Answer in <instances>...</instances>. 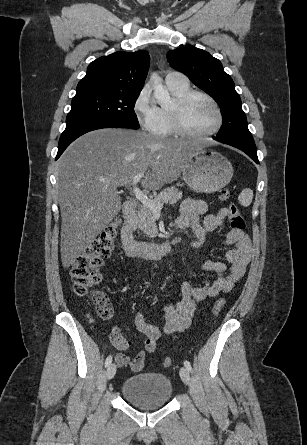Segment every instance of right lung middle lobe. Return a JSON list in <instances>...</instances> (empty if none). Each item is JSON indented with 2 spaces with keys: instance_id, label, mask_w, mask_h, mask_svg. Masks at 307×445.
<instances>
[{
  "instance_id": "1",
  "label": "right lung middle lobe",
  "mask_w": 307,
  "mask_h": 445,
  "mask_svg": "<svg viewBox=\"0 0 307 445\" xmlns=\"http://www.w3.org/2000/svg\"><path fill=\"white\" fill-rule=\"evenodd\" d=\"M139 95L90 94L75 95L66 118V126L89 122H114L138 129L134 106Z\"/></svg>"
}]
</instances>
